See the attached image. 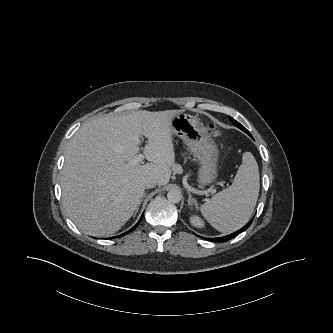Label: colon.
Wrapping results in <instances>:
<instances>
[{"mask_svg": "<svg viewBox=\"0 0 333 333\" xmlns=\"http://www.w3.org/2000/svg\"><path fill=\"white\" fill-rule=\"evenodd\" d=\"M209 129L214 133L216 134L217 133V130L215 128V125L214 124H209Z\"/></svg>", "mask_w": 333, "mask_h": 333, "instance_id": "obj_1", "label": "colon"}]
</instances>
